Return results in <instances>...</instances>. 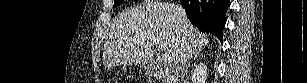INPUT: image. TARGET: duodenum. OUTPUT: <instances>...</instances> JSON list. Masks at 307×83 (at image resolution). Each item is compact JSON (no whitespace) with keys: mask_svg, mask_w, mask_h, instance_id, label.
I'll list each match as a JSON object with an SVG mask.
<instances>
[{"mask_svg":"<svg viewBox=\"0 0 307 83\" xmlns=\"http://www.w3.org/2000/svg\"><path fill=\"white\" fill-rule=\"evenodd\" d=\"M151 68H152V69H151V73H152L153 75L162 74V70L159 69L157 66H152Z\"/></svg>","mask_w":307,"mask_h":83,"instance_id":"410a0bca","label":"duodenum"}]
</instances>
